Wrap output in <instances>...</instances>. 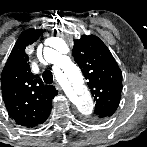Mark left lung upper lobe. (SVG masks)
I'll use <instances>...</instances> for the list:
<instances>
[{"label": "left lung upper lobe", "instance_id": "obj_1", "mask_svg": "<svg viewBox=\"0 0 147 147\" xmlns=\"http://www.w3.org/2000/svg\"><path fill=\"white\" fill-rule=\"evenodd\" d=\"M73 55L96 102L93 117L113 115L120 102L122 72L109 49L97 36L83 35L74 40Z\"/></svg>", "mask_w": 147, "mask_h": 147}]
</instances>
